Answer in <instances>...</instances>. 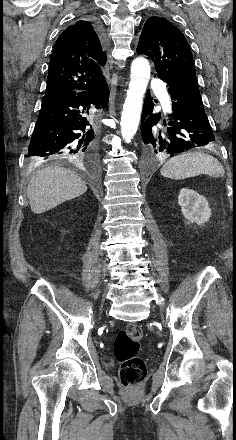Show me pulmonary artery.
Wrapping results in <instances>:
<instances>
[{
    "instance_id": "e3ab8cb5",
    "label": "pulmonary artery",
    "mask_w": 236,
    "mask_h": 440,
    "mask_svg": "<svg viewBox=\"0 0 236 440\" xmlns=\"http://www.w3.org/2000/svg\"><path fill=\"white\" fill-rule=\"evenodd\" d=\"M154 88L161 93V100L167 110H170V100L167 93L166 85L162 80L155 81Z\"/></svg>"
}]
</instances>
